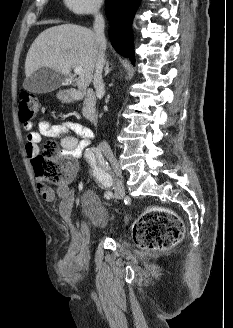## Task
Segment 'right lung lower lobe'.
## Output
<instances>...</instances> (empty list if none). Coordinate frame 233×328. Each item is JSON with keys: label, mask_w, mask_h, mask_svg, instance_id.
Instances as JSON below:
<instances>
[{"label": "right lung lower lobe", "mask_w": 233, "mask_h": 328, "mask_svg": "<svg viewBox=\"0 0 233 328\" xmlns=\"http://www.w3.org/2000/svg\"><path fill=\"white\" fill-rule=\"evenodd\" d=\"M141 0H107L106 15L110 22L109 36L114 49L135 62L132 21Z\"/></svg>", "instance_id": "obj_1"}]
</instances>
